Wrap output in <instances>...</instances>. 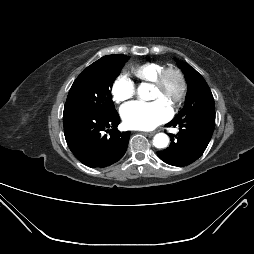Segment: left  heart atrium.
Wrapping results in <instances>:
<instances>
[{
  "instance_id": "left-heart-atrium-1",
  "label": "left heart atrium",
  "mask_w": 254,
  "mask_h": 254,
  "mask_svg": "<svg viewBox=\"0 0 254 254\" xmlns=\"http://www.w3.org/2000/svg\"><path fill=\"white\" fill-rule=\"evenodd\" d=\"M124 124L131 129L152 130L167 121L171 110L160 101H133L121 108Z\"/></svg>"
}]
</instances>
